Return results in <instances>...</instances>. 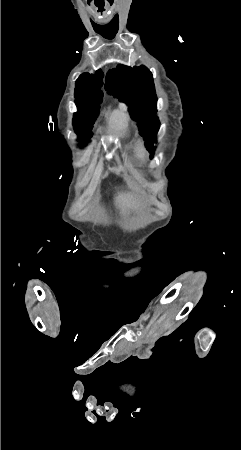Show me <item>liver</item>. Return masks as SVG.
Wrapping results in <instances>:
<instances>
[{"instance_id": "obj_1", "label": "liver", "mask_w": 241, "mask_h": 450, "mask_svg": "<svg viewBox=\"0 0 241 450\" xmlns=\"http://www.w3.org/2000/svg\"><path fill=\"white\" fill-rule=\"evenodd\" d=\"M125 204H128V206H132V204H133V196H126Z\"/></svg>"}]
</instances>
